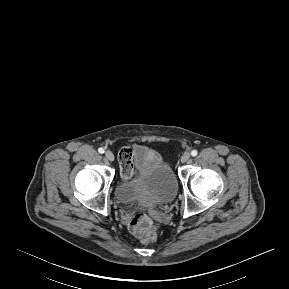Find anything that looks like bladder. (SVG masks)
I'll use <instances>...</instances> for the list:
<instances>
[{"label": "bladder", "mask_w": 289, "mask_h": 289, "mask_svg": "<svg viewBox=\"0 0 289 289\" xmlns=\"http://www.w3.org/2000/svg\"><path fill=\"white\" fill-rule=\"evenodd\" d=\"M134 159L137 176L117 183L114 189L116 200L126 206H158L172 202L178 183L170 165L152 156L151 151L144 147L135 150Z\"/></svg>", "instance_id": "1"}]
</instances>
